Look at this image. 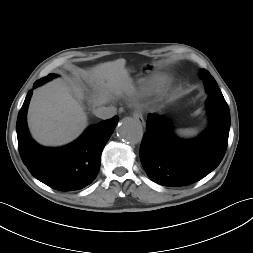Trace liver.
I'll use <instances>...</instances> for the list:
<instances>
[{"label": "liver", "mask_w": 253, "mask_h": 253, "mask_svg": "<svg viewBox=\"0 0 253 253\" xmlns=\"http://www.w3.org/2000/svg\"><path fill=\"white\" fill-rule=\"evenodd\" d=\"M126 60L118 59L76 73L100 87L97 104L104 103L109 93L120 91L129 80ZM80 90L62 80H54L34 92L29 109L28 125L32 136L45 146H58L76 139L87 126L83 107L73 96Z\"/></svg>", "instance_id": "6515ba94"}]
</instances>
